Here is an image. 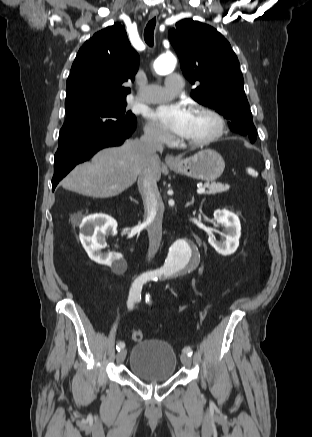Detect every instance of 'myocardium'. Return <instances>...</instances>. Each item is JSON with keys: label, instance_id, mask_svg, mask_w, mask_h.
<instances>
[{"label": "myocardium", "instance_id": "myocardium-1", "mask_svg": "<svg viewBox=\"0 0 312 437\" xmlns=\"http://www.w3.org/2000/svg\"><path fill=\"white\" fill-rule=\"evenodd\" d=\"M193 112L200 113L210 117L214 121L215 127L210 134L200 139H196V140L182 139L181 140L182 144L189 145V146H203L217 140L223 135L226 129V120L221 113H219L217 110L213 108L202 106V105L195 106L193 108Z\"/></svg>", "mask_w": 312, "mask_h": 437}]
</instances>
